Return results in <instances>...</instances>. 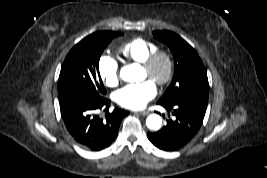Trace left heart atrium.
<instances>
[{"mask_svg":"<svg viewBox=\"0 0 267 178\" xmlns=\"http://www.w3.org/2000/svg\"><path fill=\"white\" fill-rule=\"evenodd\" d=\"M157 93V88L152 80H145L136 84H129L114 94V100L122 107L138 110L146 106Z\"/></svg>","mask_w":267,"mask_h":178,"instance_id":"39dd6f15","label":"left heart atrium"}]
</instances>
